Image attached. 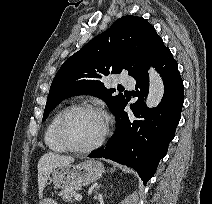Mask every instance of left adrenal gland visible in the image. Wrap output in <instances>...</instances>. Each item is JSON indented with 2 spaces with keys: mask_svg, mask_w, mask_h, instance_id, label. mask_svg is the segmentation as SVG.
I'll use <instances>...</instances> for the list:
<instances>
[{
  "mask_svg": "<svg viewBox=\"0 0 212 204\" xmlns=\"http://www.w3.org/2000/svg\"><path fill=\"white\" fill-rule=\"evenodd\" d=\"M100 188V186L98 187V189ZM100 197L98 196V199H99Z\"/></svg>",
  "mask_w": 212,
  "mask_h": 204,
  "instance_id": "1",
  "label": "left adrenal gland"
}]
</instances>
